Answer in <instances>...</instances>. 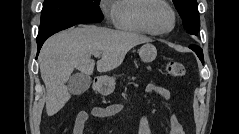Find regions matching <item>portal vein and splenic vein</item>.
Segmentation results:
<instances>
[{
    "label": "portal vein and splenic vein",
    "instance_id": "portal-vein-and-splenic-vein-1",
    "mask_svg": "<svg viewBox=\"0 0 239 134\" xmlns=\"http://www.w3.org/2000/svg\"><path fill=\"white\" fill-rule=\"evenodd\" d=\"M100 55H101V52H95V53H94V56H95V57H99Z\"/></svg>",
    "mask_w": 239,
    "mask_h": 134
}]
</instances>
